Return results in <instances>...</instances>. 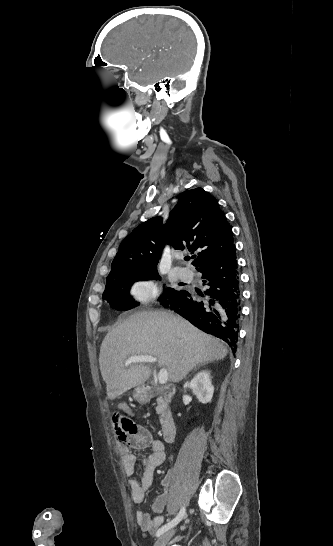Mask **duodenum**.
<instances>
[{"instance_id":"410a0bca","label":"duodenum","mask_w":333,"mask_h":546,"mask_svg":"<svg viewBox=\"0 0 333 546\" xmlns=\"http://www.w3.org/2000/svg\"><path fill=\"white\" fill-rule=\"evenodd\" d=\"M142 394L146 398L160 396L163 399L164 409L160 415L161 435L164 441L173 442L176 436V426L169 405L175 394V388L169 385L159 388L144 386Z\"/></svg>"}]
</instances>
